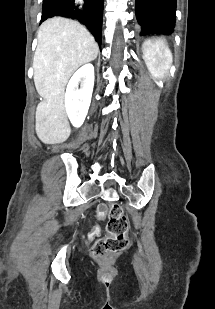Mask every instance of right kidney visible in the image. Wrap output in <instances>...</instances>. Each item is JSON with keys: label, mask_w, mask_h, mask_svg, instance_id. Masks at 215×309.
I'll list each match as a JSON object with an SVG mask.
<instances>
[{"label": "right kidney", "mask_w": 215, "mask_h": 309, "mask_svg": "<svg viewBox=\"0 0 215 309\" xmlns=\"http://www.w3.org/2000/svg\"><path fill=\"white\" fill-rule=\"evenodd\" d=\"M81 78H85V80H83L82 88H78V82ZM93 86V64H84L71 76L66 88L65 106L73 126L83 124L90 106Z\"/></svg>", "instance_id": "obj_1"}]
</instances>
